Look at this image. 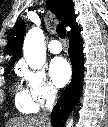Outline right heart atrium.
Here are the masks:
<instances>
[{
    "mask_svg": "<svg viewBox=\"0 0 108 127\" xmlns=\"http://www.w3.org/2000/svg\"><path fill=\"white\" fill-rule=\"evenodd\" d=\"M20 75L25 81L30 96L37 105H44L55 99L57 90L49 82L43 70H31L22 66Z\"/></svg>",
    "mask_w": 108,
    "mask_h": 127,
    "instance_id": "right-heart-atrium-1",
    "label": "right heart atrium"
}]
</instances>
